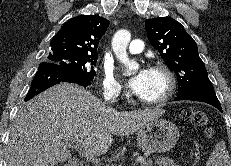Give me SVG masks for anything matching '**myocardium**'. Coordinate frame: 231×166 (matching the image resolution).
<instances>
[{
	"instance_id": "myocardium-1",
	"label": "myocardium",
	"mask_w": 231,
	"mask_h": 166,
	"mask_svg": "<svg viewBox=\"0 0 231 166\" xmlns=\"http://www.w3.org/2000/svg\"><path fill=\"white\" fill-rule=\"evenodd\" d=\"M150 70L158 72L163 75V77L165 78V82H166L165 90L157 98L149 100V99H143L140 97L139 101L142 104L149 105V106L161 105L165 103L166 101H168L174 94L175 87H176V78H175L173 71L167 65L163 63L153 64L150 67Z\"/></svg>"
}]
</instances>
